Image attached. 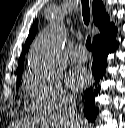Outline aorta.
Masks as SVG:
<instances>
[{"instance_id": "1", "label": "aorta", "mask_w": 125, "mask_h": 128, "mask_svg": "<svg viewBox=\"0 0 125 128\" xmlns=\"http://www.w3.org/2000/svg\"><path fill=\"white\" fill-rule=\"evenodd\" d=\"M65 37L66 29L63 22L58 21L44 30L31 49L29 55L31 65L39 71H53Z\"/></svg>"}]
</instances>
